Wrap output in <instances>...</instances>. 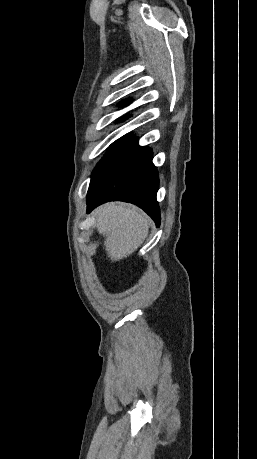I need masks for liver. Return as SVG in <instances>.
I'll list each match as a JSON object with an SVG mask.
<instances>
[{
  "instance_id": "obj_1",
  "label": "liver",
  "mask_w": 257,
  "mask_h": 459,
  "mask_svg": "<svg viewBox=\"0 0 257 459\" xmlns=\"http://www.w3.org/2000/svg\"><path fill=\"white\" fill-rule=\"evenodd\" d=\"M94 215L97 231L106 238L105 250L112 261L131 255L148 235L147 216L130 205L104 204L95 210Z\"/></svg>"
}]
</instances>
